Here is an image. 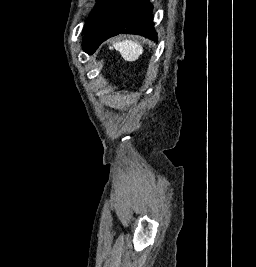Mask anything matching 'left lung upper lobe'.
Returning <instances> with one entry per match:
<instances>
[{
	"mask_svg": "<svg viewBox=\"0 0 256 267\" xmlns=\"http://www.w3.org/2000/svg\"><path fill=\"white\" fill-rule=\"evenodd\" d=\"M83 50L93 54L99 45L119 33L139 34L157 41L148 0H99L84 30Z\"/></svg>",
	"mask_w": 256,
	"mask_h": 267,
	"instance_id": "left-lung-upper-lobe-1",
	"label": "left lung upper lobe"
}]
</instances>
